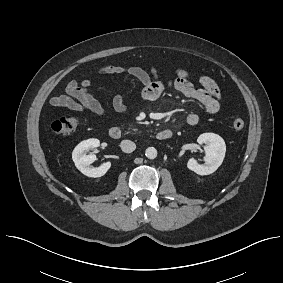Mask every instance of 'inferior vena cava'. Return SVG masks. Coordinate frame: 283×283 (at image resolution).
<instances>
[{
  "mask_svg": "<svg viewBox=\"0 0 283 283\" xmlns=\"http://www.w3.org/2000/svg\"><path fill=\"white\" fill-rule=\"evenodd\" d=\"M121 150L125 153H131L136 149V144L131 140H123L120 144Z\"/></svg>",
  "mask_w": 283,
  "mask_h": 283,
  "instance_id": "602c4592",
  "label": "inferior vena cava"
}]
</instances>
